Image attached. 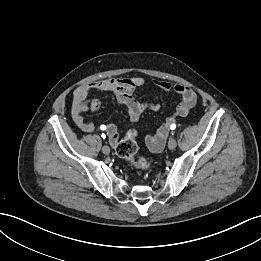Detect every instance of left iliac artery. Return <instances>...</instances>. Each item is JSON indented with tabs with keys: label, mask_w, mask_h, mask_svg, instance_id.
Masks as SVG:
<instances>
[{
	"label": "left iliac artery",
	"mask_w": 261,
	"mask_h": 261,
	"mask_svg": "<svg viewBox=\"0 0 261 261\" xmlns=\"http://www.w3.org/2000/svg\"><path fill=\"white\" fill-rule=\"evenodd\" d=\"M175 128H176V125L175 124H171L170 129L174 130Z\"/></svg>",
	"instance_id": "44dca946"
}]
</instances>
